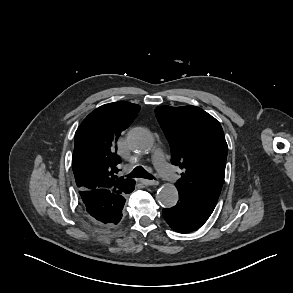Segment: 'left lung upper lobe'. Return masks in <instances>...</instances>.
Returning <instances> with one entry per match:
<instances>
[{
  "mask_svg": "<svg viewBox=\"0 0 293 293\" xmlns=\"http://www.w3.org/2000/svg\"><path fill=\"white\" fill-rule=\"evenodd\" d=\"M157 120L170 144L171 162L184 169L179 196L214 210L224 176L228 146L220 123L196 106H159Z\"/></svg>",
  "mask_w": 293,
  "mask_h": 293,
  "instance_id": "left-lung-upper-lobe-1",
  "label": "left lung upper lobe"
}]
</instances>
